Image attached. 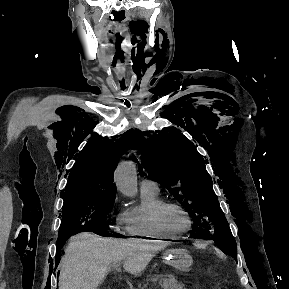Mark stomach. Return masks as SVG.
Segmentation results:
<instances>
[{"instance_id": "stomach-1", "label": "stomach", "mask_w": 289, "mask_h": 289, "mask_svg": "<svg viewBox=\"0 0 289 289\" xmlns=\"http://www.w3.org/2000/svg\"><path fill=\"white\" fill-rule=\"evenodd\" d=\"M165 262L180 272H188L193 264L192 256L184 248H174L165 252Z\"/></svg>"}]
</instances>
